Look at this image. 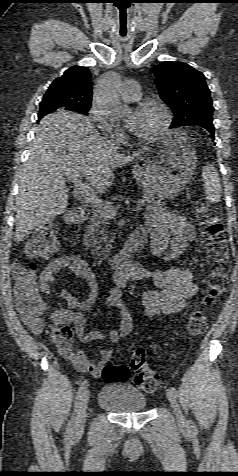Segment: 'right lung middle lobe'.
Returning a JSON list of instances; mask_svg holds the SVG:
<instances>
[{"mask_svg": "<svg viewBox=\"0 0 238 476\" xmlns=\"http://www.w3.org/2000/svg\"><path fill=\"white\" fill-rule=\"evenodd\" d=\"M89 108L90 107H81L80 109H78L77 112L87 115V112H88ZM56 110L62 111V109H59L57 107V105H55L53 103L41 102L38 118L40 119L44 115H46L50 112L56 111Z\"/></svg>", "mask_w": 238, "mask_h": 476, "instance_id": "1", "label": "right lung middle lobe"}]
</instances>
